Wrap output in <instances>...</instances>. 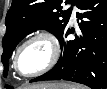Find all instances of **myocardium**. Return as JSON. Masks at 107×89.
<instances>
[{
  "instance_id": "f54148a6",
  "label": "myocardium",
  "mask_w": 107,
  "mask_h": 89,
  "mask_svg": "<svg viewBox=\"0 0 107 89\" xmlns=\"http://www.w3.org/2000/svg\"><path fill=\"white\" fill-rule=\"evenodd\" d=\"M36 39H45L50 47H51V58L49 60V62L47 63V65L45 67H43L42 69L30 73V74H24L19 70L18 67V58L20 55L21 50L31 41L36 40ZM60 53H61V49H60V44L57 40V38L49 31H37L33 34H31L30 36H28L17 48L14 57H13V67L15 69V71L22 77H26V78H30V77H36L39 75H42L46 72H48L49 70H51L56 63L59 60L60 57Z\"/></svg>"
}]
</instances>
